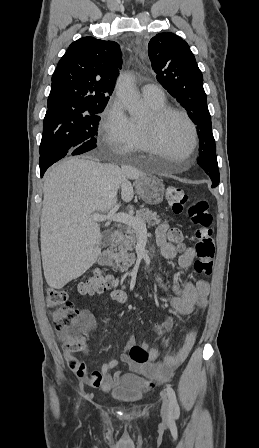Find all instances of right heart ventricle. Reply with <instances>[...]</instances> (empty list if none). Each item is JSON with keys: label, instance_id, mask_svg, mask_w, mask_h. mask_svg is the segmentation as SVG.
I'll use <instances>...</instances> for the list:
<instances>
[{"label": "right heart ventricle", "instance_id": "e07e8e85", "mask_svg": "<svg viewBox=\"0 0 259 448\" xmlns=\"http://www.w3.org/2000/svg\"><path fill=\"white\" fill-rule=\"evenodd\" d=\"M146 104L152 109V110H159L166 105L165 98L161 101H151L144 99ZM134 129L135 133V148L134 152L131 154V156L128 158V162H136L137 161V155L140 151H145L147 149V145L143 136L142 132V123L143 122H137L134 120H130Z\"/></svg>", "mask_w": 259, "mask_h": 448}]
</instances>
